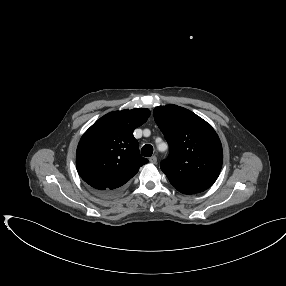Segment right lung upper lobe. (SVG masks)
Wrapping results in <instances>:
<instances>
[{"label":"right lung upper lobe","mask_w":286,"mask_h":286,"mask_svg":"<svg viewBox=\"0 0 286 286\" xmlns=\"http://www.w3.org/2000/svg\"><path fill=\"white\" fill-rule=\"evenodd\" d=\"M149 116L146 108L111 112L84 133L77 147L76 166L90 188L120 191L148 162L140 155L133 131Z\"/></svg>","instance_id":"obj_1"}]
</instances>
